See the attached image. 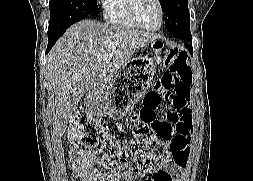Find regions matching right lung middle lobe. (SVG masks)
<instances>
[{
    "instance_id": "obj_1",
    "label": "right lung middle lobe",
    "mask_w": 253,
    "mask_h": 181,
    "mask_svg": "<svg viewBox=\"0 0 253 181\" xmlns=\"http://www.w3.org/2000/svg\"><path fill=\"white\" fill-rule=\"evenodd\" d=\"M48 36L66 30L90 14H98L96 0H50Z\"/></svg>"
}]
</instances>
